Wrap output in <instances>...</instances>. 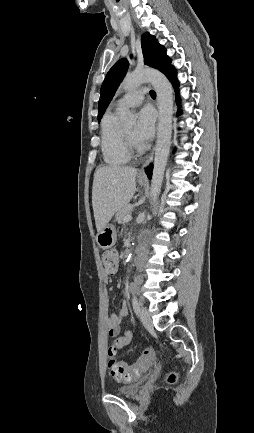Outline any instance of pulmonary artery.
<instances>
[{"label": "pulmonary artery", "mask_w": 254, "mask_h": 433, "mask_svg": "<svg viewBox=\"0 0 254 433\" xmlns=\"http://www.w3.org/2000/svg\"><path fill=\"white\" fill-rule=\"evenodd\" d=\"M147 92V88L142 87L139 89L132 90L120 98L116 103V108L136 107L139 106L143 100L144 95Z\"/></svg>", "instance_id": "e3ab8cb5"}]
</instances>
